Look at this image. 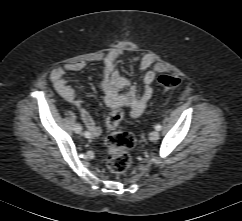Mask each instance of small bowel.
Here are the masks:
<instances>
[{
  "instance_id": "small-bowel-1",
  "label": "small bowel",
  "mask_w": 242,
  "mask_h": 221,
  "mask_svg": "<svg viewBox=\"0 0 242 221\" xmlns=\"http://www.w3.org/2000/svg\"><path fill=\"white\" fill-rule=\"evenodd\" d=\"M128 49H131V47L122 44L114 47L107 53L102 64L100 87L104 94L105 105L110 110L118 107H126L129 109L131 117H138L145 111L154 93L153 83L156 79V73L153 70H149L151 58L149 56L143 57L139 65L143 89L142 91H137L130 80L121 75L117 65L119 57ZM85 67L86 63L82 61L66 63L52 71L51 80L59 95L77 108L81 120L89 129L92 136L97 137L101 132L100 127L84 108L81 100L77 98L75 90L67 84L65 79V75L68 72L81 71ZM125 88L129 90L122 92Z\"/></svg>"
}]
</instances>
